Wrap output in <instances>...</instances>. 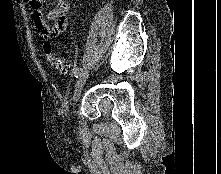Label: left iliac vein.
Segmentation results:
<instances>
[{"instance_id": "left-iliac-vein-1", "label": "left iliac vein", "mask_w": 221, "mask_h": 174, "mask_svg": "<svg viewBox=\"0 0 221 174\" xmlns=\"http://www.w3.org/2000/svg\"><path fill=\"white\" fill-rule=\"evenodd\" d=\"M88 71H85L84 73H82L77 82H76V85H75V90H74V100L77 101L80 97V94H81V91H82V88L86 82V80L88 79Z\"/></svg>"}]
</instances>
